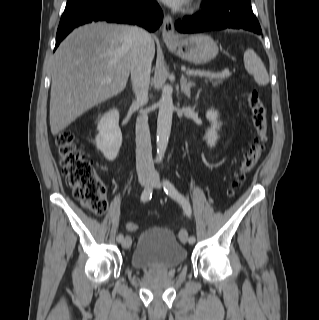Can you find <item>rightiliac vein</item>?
I'll return each instance as SVG.
<instances>
[{"label":"right iliac vein","instance_id":"1","mask_svg":"<svg viewBox=\"0 0 319 320\" xmlns=\"http://www.w3.org/2000/svg\"><path fill=\"white\" fill-rule=\"evenodd\" d=\"M140 183H141L142 186H147L150 183V178L143 177V178L140 179ZM131 243H132L131 237L130 236H126L122 241V247L124 249H127V248H129L131 246Z\"/></svg>","mask_w":319,"mask_h":320}]
</instances>
